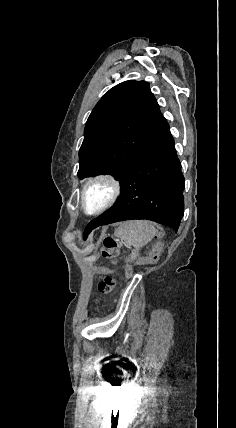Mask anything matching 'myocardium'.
Wrapping results in <instances>:
<instances>
[{"mask_svg":"<svg viewBox=\"0 0 236 428\" xmlns=\"http://www.w3.org/2000/svg\"><path fill=\"white\" fill-rule=\"evenodd\" d=\"M96 184H104L109 189L108 198L100 206L90 209L87 206L86 195L90 187ZM123 192V184L121 180L112 173H98L89 177L82 185L80 192V201L82 209L91 215L102 213L111 208L120 198Z\"/></svg>","mask_w":236,"mask_h":428,"instance_id":"obj_1","label":"myocardium"}]
</instances>
